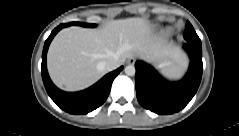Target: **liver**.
<instances>
[{
  "instance_id": "liver-1",
  "label": "liver",
  "mask_w": 239,
  "mask_h": 136,
  "mask_svg": "<svg viewBox=\"0 0 239 136\" xmlns=\"http://www.w3.org/2000/svg\"><path fill=\"white\" fill-rule=\"evenodd\" d=\"M165 50L147 20L126 18L99 29L72 26L61 30L49 47L47 67L58 87L78 91L105 75L104 62L111 58L122 63L134 56L149 59Z\"/></svg>"
}]
</instances>
